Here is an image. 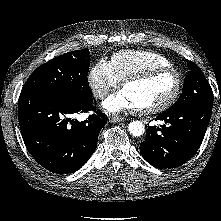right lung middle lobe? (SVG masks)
Instances as JSON below:
<instances>
[{"instance_id":"obj_1","label":"right lung middle lobe","mask_w":221,"mask_h":221,"mask_svg":"<svg viewBox=\"0 0 221 221\" xmlns=\"http://www.w3.org/2000/svg\"><path fill=\"white\" fill-rule=\"evenodd\" d=\"M90 55L88 49L58 56L38 67L24 84L21 93L51 91L91 100L88 84Z\"/></svg>"}]
</instances>
